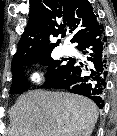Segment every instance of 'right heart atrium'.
Returning a JSON list of instances; mask_svg holds the SVG:
<instances>
[{
  "instance_id": "obj_1",
  "label": "right heart atrium",
  "mask_w": 117,
  "mask_h": 136,
  "mask_svg": "<svg viewBox=\"0 0 117 136\" xmlns=\"http://www.w3.org/2000/svg\"><path fill=\"white\" fill-rule=\"evenodd\" d=\"M30 79H31V81L38 83L41 80V75L37 72H34L30 75Z\"/></svg>"
}]
</instances>
